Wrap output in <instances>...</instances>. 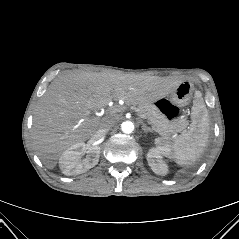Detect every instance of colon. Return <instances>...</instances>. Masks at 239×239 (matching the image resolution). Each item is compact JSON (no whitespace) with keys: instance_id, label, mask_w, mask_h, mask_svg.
I'll use <instances>...</instances> for the list:
<instances>
[{"instance_id":"5ec220e1","label":"colon","mask_w":239,"mask_h":239,"mask_svg":"<svg viewBox=\"0 0 239 239\" xmlns=\"http://www.w3.org/2000/svg\"><path fill=\"white\" fill-rule=\"evenodd\" d=\"M160 111L168 118L174 119L178 114V108L174 106L171 102L165 99H161L157 103Z\"/></svg>"}]
</instances>
